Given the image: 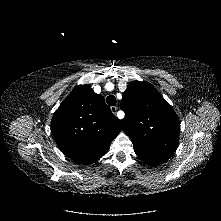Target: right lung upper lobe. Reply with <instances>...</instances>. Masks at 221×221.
Returning a JSON list of instances; mask_svg holds the SVG:
<instances>
[{
	"label": "right lung upper lobe",
	"mask_w": 221,
	"mask_h": 221,
	"mask_svg": "<svg viewBox=\"0 0 221 221\" xmlns=\"http://www.w3.org/2000/svg\"><path fill=\"white\" fill-rule=\"evenodd\" d=\"M51 131L60 150L79 164H91L109 149L121 122L89 85L77 86L54 113Z\"/></svg>",
	"instance_id": "1"
}]
</instances>
